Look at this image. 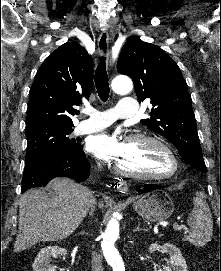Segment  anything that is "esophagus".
<instances>
[{"instance_id":"1","label":"esophagus","mask_w":221,"mask_h":271,"mask_svg":"<svg viewBox=\"0 0 221 271\" xmlns=\"http://www.w3.org/2000/svg\"><path fill=\"white\" fill-rule=\"evenodd\" d=\"M98 52L100 56H104L105 59L107 58V66L110 68V62H109V33L107 30H103L98 38L97 42ZM106 62V60H105ZM120 190L127 192L128 191V185L126 181H120Z\"/></svg>"}]
</instances>
